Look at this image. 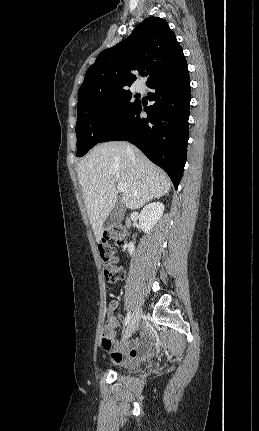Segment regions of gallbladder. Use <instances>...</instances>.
I'll list each match as a JSON object with an SVG mask.
<instances>
[{"instance_id": "obj_1", "label": "gallbladder", "mask_w": 259, "mask_h": 431, "mask_svg": "<svg viewBox=\"0 0 259 431\" xmlns=\"http://www.w3.org/2000/svg\"><path fill=\"white\" fill-rule=\"evenodd\" d=\"M124 217V204L121 200H118L114 207L112 208L111 212L109 213L108 217L106 218L103 229L109 230L112 227L118 225Z\"/></svg>"}]
</instances>
